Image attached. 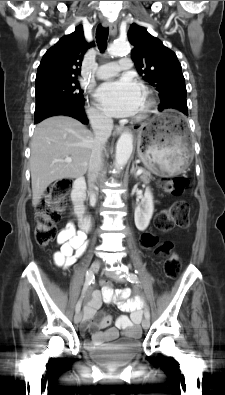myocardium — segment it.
<instances>
[{
    "mask_svg": "<svg viewBox=\"0 0 225 395\" xmlns=\"http://www.w3.org/2000/svg\"><path fill=\"white\" fill-rule=\"evenodd\" d=\"M143 95H144V106L142 110L139 112L138 116L136 117V120L138 121L143 120L148 116L155 103L150 90H148L147 88H143Z\"/></svg>",
    "mask_w": 225,
    "mask_h": 395,
    "instance_id": "obj_1",
    "label": "myocardium"
}]
</instances>
